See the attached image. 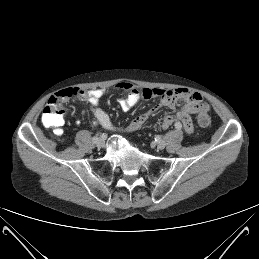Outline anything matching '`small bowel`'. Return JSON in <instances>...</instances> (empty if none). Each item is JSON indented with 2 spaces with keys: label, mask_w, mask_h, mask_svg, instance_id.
I'll use <instances>...</instances> for the list:
<instances>
[{
  "label": "small bowel",
  "mask_w": 259,
  "mask_h": 259,
  "mask_svg": "<svg viewBox=\"0 0 259 259\" xmlns=\"http://www.w3.org/2000/svg\"><path fill=\"white\" fill-rule=\"evenodd\" d=\"M117 89L127 92L125 98L118 100V105L122 111H128L141 100L158 98L159 104L142 113L140 116L132 120L126 127V131H137L144 127L149 118L156 113L161 107L175 108L179 100L184 101L183 106L176 114H169L163 117L161 128L168 129L174 123H180L185 132H193V122L191 115L198 113L208 106L203 102L202 97L196 91L188 88L162 89V88H140L130 82H120L116 85ZM105 89L84 90L81 88H67L60 90L54 97L62 102L70 97H76L87 101L91 105L92 121L99 124L103 128L115 131L110 116L99 106L101 97L105 94ZM84 113V112H83Z\"/></svg>",
  "instance_id": "c3829d8e"
}]
</instances>
